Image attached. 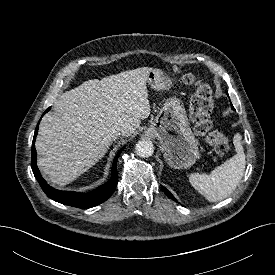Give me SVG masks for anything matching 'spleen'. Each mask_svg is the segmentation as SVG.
<instances>
[{"label":"spleen","mask_w":275,"mask_h":275,"mask_svg":"<svg viewBox=\"0 0 275 275\" xmlns=\"http://www.w3.org/2000/svg\"><path fill=\"white\" fill-rule=\"evenodd\" d=\"M242 136L234 135L236 155L217 166L210 174L192 173L189 181L208 201L218 202L227 198L237 187L245 170V154Z\"/></svg>","instance_id":"spleen-1"}]
</instances>
